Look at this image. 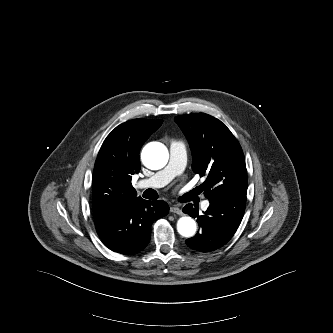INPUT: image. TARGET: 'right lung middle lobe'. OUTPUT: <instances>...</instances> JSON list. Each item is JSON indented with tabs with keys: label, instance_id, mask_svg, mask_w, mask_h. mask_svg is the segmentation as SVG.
<instances>
[{
	"label": "right lung middle lobe",
	"instance_id": "1",
	"mask_svg": "<svg viewBox=\"0 0 333 333\" xmlns=\"http://www.w3.org/2000/svg\"><path fill=\"white\" fill-rule=\"evenodd\" d=\"M124 205L121 204V200L117 199H114L107 203L93 201V211L94 213H106L109 211L116 210Z\"/></svg>",
	"mask_w": 333,
	"mask_h": 333
}]
</instances>
